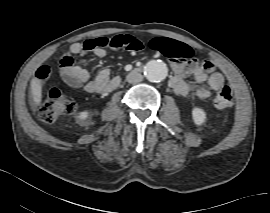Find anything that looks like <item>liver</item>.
I'll use <instances>...</instances> for the list:
<instances>
[{
  "instance_id": "obj_1",
  "label": "liver",
  "mask_w": 270,
  "mask_h": 213,
  "mask_svg": "<svg viewBox=\"0 0 270 213\" xmlns=\"http://www.w3.org/2000/svg\"><path fill=\"white\" fill-rule=\"evenodd\" d=\"M31 92L33 95L34 103L39 106L42 100V84L38 78H33L31 81Z\"/></svg>"
}]
</instances>
